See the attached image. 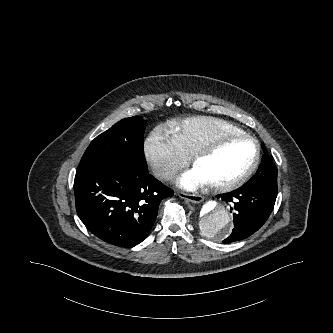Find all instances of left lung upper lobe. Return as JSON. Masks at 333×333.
Segmentation results:
<instances>
[{"label":"left lung upper lobe","mask_w":333,"mask_h":333,"mask_svg":"<svg viewBox=\"0 0 333 333\" xmlns=\"http://www.w3.org/2000/svg\"><path fill=\"white\" fill-rule=\"evenodd\" d=\"M247 186H269L277 188V167L264 151L262 161L255 175L245 184Z\"/></svg>","instance_id":"5c2ea615"}]
</instances>
